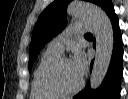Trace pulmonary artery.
<instances>
[{"label":"pulmonary artery","mask_w":128,"mask_h":99,"mask_svg":"<svg viewBox=\"0 0 128 99\" xmlns=\"http://www.w3.org/2000/svg\"><path fill=\"white\" fill-rule=\"evenodd\" d=\"M90 30H92V25L89 22H76L72 26L68 27L66 31L53 38L48 43L47 50L61 55L65 43L73 34L82 33Z\"/></svg>","instance_id":"obj_1"}]
</instances>
